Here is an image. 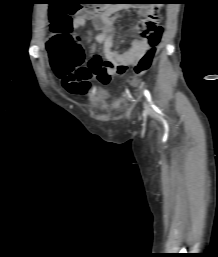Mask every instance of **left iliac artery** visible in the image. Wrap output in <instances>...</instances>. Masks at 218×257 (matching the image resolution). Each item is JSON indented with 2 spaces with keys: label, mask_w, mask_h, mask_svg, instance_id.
<instances>
[{
  "label": "left iliac artery",
  "mask_w": 218,
  "mask_h": 257,
  "mask_svg": "<svg viewBox=\"0 0 218 257\" xmlns=\"http://www.w3.org/2000/svg\"><path fill=\"white\" fill-rule=\"evenodd\" d=\"M144 95L147 98L148 102L150 103V106L156 109L155 105L152 103L151 94L147 89L144 90Z\"/></svg>",
  "instance_id": "1"
}]
</instances>
